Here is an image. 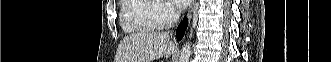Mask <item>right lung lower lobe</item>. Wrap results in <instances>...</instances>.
<instances>
[{
    "label": "right lung lower lobe",
    "mask_w": 331,
    "mask_h": 62,
    "mask_svg": "<svg viewBox=\"0 0 331 62\" xmlns=\"http://www.w3.org/2000/svg\"><path fill=\"white\" fill-rule=\"evenodd\" d=\"M188 20L186 18L180 23L176 31V37L178 40H181L184 36L185 29L187 28Z\"/></svg>",
    "instance_id": "98d812e1"
}]
</instances>
